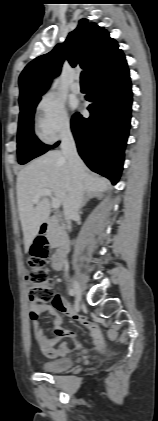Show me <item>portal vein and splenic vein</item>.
Masks as SVG:
<instances>
[{
	"instance_id": "1",
	"label": "portal vein and splenic vein",
	"mask_w": 158,
	"mask_h": 421,
	"mask_svg": "<svg viewBox=\"0 0 158 421\" xmlns=\"http://www.w3.org/2000/svg\"><path fill=\"white\" fill-rule=\"evenodd\" d=\"M41 196H48L52 200V207L53 208H59L60 207V201L53 197L51 190L49 189H43L40 190L36 196L33 198V203L36 204Z\"/></svg>"
}]
</instances>
